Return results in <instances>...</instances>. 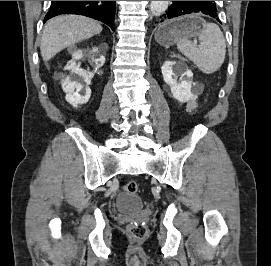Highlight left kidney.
<instances>
[{
  "instance_id": "obj_1",
  "label": "left kidney",
  "mask_w": 271,
  "mask_h": 266,
  "mask_svg": "<svg viewBox=\"0 0 271 266\" xmlns=\"http://www.w3.org/2000/svg\"><path fill=\"white\" fill-rule=\"evenodd\" d=\"M161 71L165 83L171 87V92L176 100L185 103L196 99L191 92L193 73L189 69L175 61H166ZM178 77H180V82H177Z\"/></svg>"
}]
</instances>
